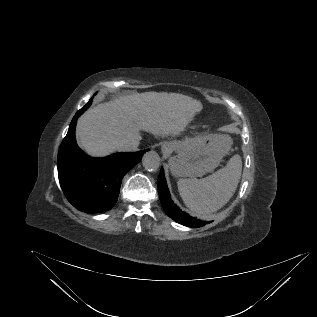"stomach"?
Returning <instances> with one entry per match:
<instances>
[{"instance_id": "0dacf381", "label": "stomach", "mask_w": 317, "mask_h": 317, "mask_svg": "<svg viewBox=\"0 0 317 317\" xmlns=\"http://www.w3.org/2000/svg\"><path fill=\"white\" fill-rule=\"evenodd\" d=\"M232 140L227 135L209 134L186 137L182 141L164 144L177 155L169 159L171 172L177 177H201L214 170L228 153Z\"/></svg>"}]
</instances>
